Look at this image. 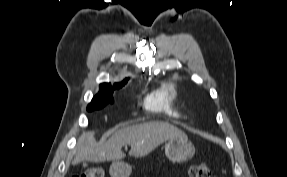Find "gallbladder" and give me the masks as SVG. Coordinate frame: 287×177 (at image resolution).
Wrapping results in <instances>:
<instances>
[{"mask_svg":"<svg viewBox=\"0 0 287 177\" xmlns=\"http://www.w3.org/2000/svg\"><path fill=\"white\" fill-rule=\"evenodd\" d=\"M82 164L84 167H86L88 165L86 161H83Z\"/></svg>","mask_w":287,"mask_h":177,"instance_id":"bac80fb5","label":"gallbladder"}]
</instances>
